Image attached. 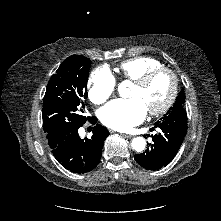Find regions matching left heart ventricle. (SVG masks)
Here are the masks:
<instances>
[{
  "label": "left heart ventricle",
  "mask_w": 221,
  "mask_h": 221,
  "mask_svg": "<svg viewBox=\"0 0 221 221\" xmlns=\"http://www.w3.org/2000/svg\"><path fill=\"white\" fill-rule=\"evenodd\" d=\"M171 89V79L162 73L155 77L147 86H133L130 96L139 98L147 110L160 107L167 99Z\"/></svg>",
  "instance_id": "obj_1"
}]
</instances>
